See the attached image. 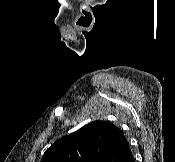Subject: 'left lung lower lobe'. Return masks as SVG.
<instances>
[{
  "label": "left lung lower lobe",
  "instance_id": "0a47b994",
  "mask_svg": "<svg viewBox=\"0 0 175 162\" xmlns=\"http://www.w3.org/2000/svg\"><path fill=\"white\" fill-rule=\"evenodd\" d=\"M106 162H134L130 146L126 139L114 148Z\"/></svg>",
  "mask_w": 175,
  "mask_h": 162
}]
</instances>
